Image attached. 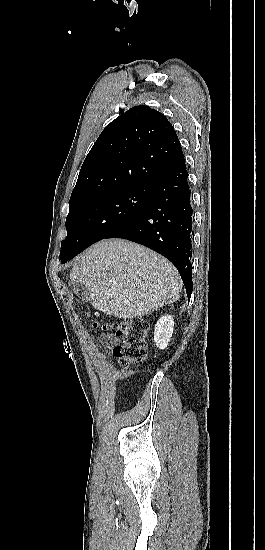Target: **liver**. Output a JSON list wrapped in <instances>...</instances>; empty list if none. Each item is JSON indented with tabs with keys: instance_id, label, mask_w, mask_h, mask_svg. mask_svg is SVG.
I'll list each match as a JSON object with an SVG mask.
<instances>
[{
	"instance_id": "liver-1",
	"label": "liver",
	"mask_w": 265,
	"mask_h": 550,
	"mask_svg": "<svg viewBox=\"0 0 265 550\" xmlns=\"http://www.w3.org/2000/svg\"><path fill=\"white\" fill-rule=\"evenodd\" d=\"M86 301L120 319L142 317L176 302L182 291L174 265L158 253L123 239L102 240L82 253L70 272Z\"/></svg>"
}]
</instances>
